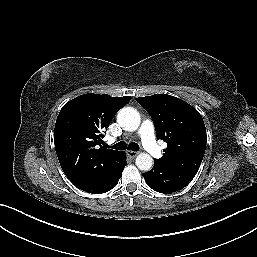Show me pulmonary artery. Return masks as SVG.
Returning a JSON list of instances; mask_svg holds the SVG:
<instances>
[{"label": "pulmonary artery", "instance_id": "1", "mask_svg": "<svg viewBox=\"0 0 257 257\" xmlns=\"http://www.w3.org/2000/svg\"><path fill=\"white\" fill-rule=\"evenodd\" d=\"M138 135L148 153L155 158L159 157L161 152L155 140V127L150 120H144L142 122L138 130Z\"/></svg>", "mask_w": 257, "mask_h": 257}]
</instances>
